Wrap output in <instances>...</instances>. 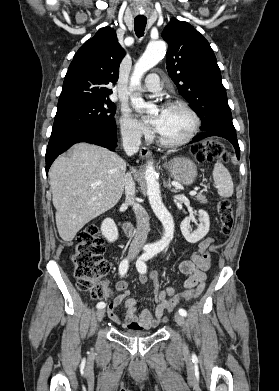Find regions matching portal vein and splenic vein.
Listing matches in <instances>:
<instances>
[{
    "label": "portal vein and splenic vein",
    "instance_id": "obj_1",
    "mask_svg": "<svg viewBox=\"0 0 279 391\" xmlns=\"http://www.w3.org/2000/svg\"><path fill=\"white\" fill-rule=\"evenodd\" d=\"M196 193H197V192L194 190V191H191L189 194H190V195H196Z\"/></svg>",
    "mask_w": 279,
    "mask_h": 391
}]
</instances>
